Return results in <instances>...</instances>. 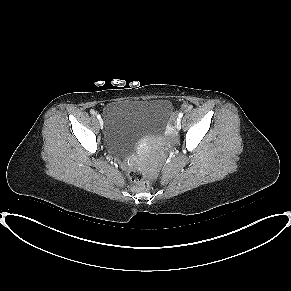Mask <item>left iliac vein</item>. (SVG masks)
<instances>
[{
    "instance_id": "obj_1",
    "label": "left iliac vein",
    "mask_w": 291,
    "mask_h": 291,
    "mask_svg": "<svg viewBox=\"0 0 291 291\" xmlns=\"http://www.w3.org/2000/svg\"><path fill=\"white\" fill-rule=\"evenodd\" d=\"M176 128H177L178 130L181 129V120H180V119H177V121H176Z\"/></svg>"
}]
</instances>
